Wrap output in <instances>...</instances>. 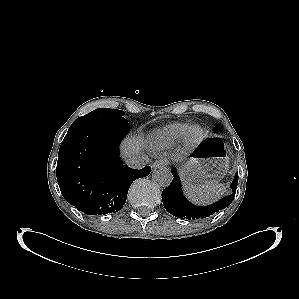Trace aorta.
Segmentation results:
<instances>
[{"label": "aorta", "instance_id": "obj_1", "mask_svg": "<svg viewBox=\"0 0 299 299\" xmlns=\"http://www.w3.org/2000/svg\"><path fill=\"white\" fill-rule=\"evenodd\" d=\"M152 179L158 185L162 187H167L172 182L173 176L168 168L162 167L153 172Z\"/></svg>", "mask_w": 299, "mask_h": 299}]
</instances>
